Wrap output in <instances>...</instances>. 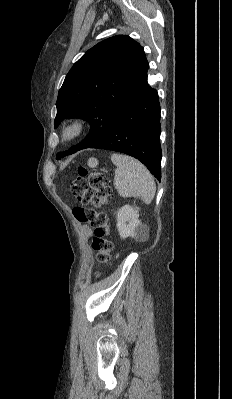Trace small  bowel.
<instances>
[{"instance_id":"obj_1","label":"small bowel","mask_w":232,"mask_h":399,"mask_svg":"<svg viewBox=\"0 0 232 399\" xmlns=\"http://www.w3.org/2000/svg\"><path fill=\"white\" fill-rule=\"evenodd\" d=\"M83 232H84V234H85L86 236H89V235H90V232H89V230H88L87 228H83Z\"/></svg>"}]
</instances>
